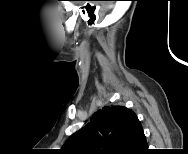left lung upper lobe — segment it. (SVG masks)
Masks as SVG:
<instances>
[{
	"mask_svg": "<svg viewBox=\"0 0 188 154\" xmlns=\"http://www.w3.org/2000/svg\"><path fill=\"white\" fill-rule=\"evenodd\" d=\"M133 115L134 112L123 106H105L93 114L85 127L71 135L61 149L67 154L121 152L128 138Z\"/></svg>",
	"mask_w": 188,
	"mask_h": 154,
	"instance_id": "1",
	"label": "left lung upper lobe"
}]
</instances>
